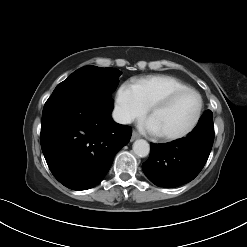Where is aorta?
Wrapping results in <instances>:
<instances>
[{"instance_id": "1", "label": "aorta", "mask_w": 247, "mask_h": 247, "mask_svg": "<svg viewBox=\"0 0 247 247\" xmlns=\"http://www.w3.org/2000/svg\"><path fill=\"white\" fill-rule=\"evenodd\" d=\"M133 151L138 157L144 158L148 156L150 146L146 140L138 139L133 143Z\"/></svg>"}]
</instances>
